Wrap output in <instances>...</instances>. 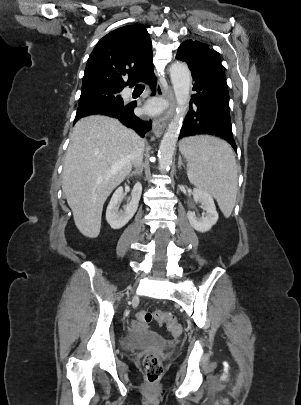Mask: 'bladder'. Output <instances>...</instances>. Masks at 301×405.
<instances>
[{"instance_id": "bladder-1", "label": "bladder", "mask_w": 301, "mask_h": 405, "mask_svg": "<svg viewBox=\"0 0 301 405\" xmlns=\"http://www.w3.org/2000/svg\"><path fill=\"white\" fill-rule=\"evenodd\" d=\"M122 346L126 350H137L144 348H162L164 340L161 336L147 329H134L122 340Z\"/></svg>"}]
</instances>
